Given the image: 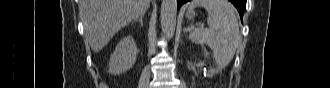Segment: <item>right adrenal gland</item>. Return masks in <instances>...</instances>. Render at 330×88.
I'll use <instances>...</instances> for the list:
<instances>
[{
  "label": "right adrenal gland",
  "mask_w": 330,
  "mask_h": 88,
  "mask_svg": "<svg viewBox=\"0 0 330 88\" xmlns=\"http://www.w3.org/2000/svg\"><path fill=\"white\" fill-rule=\"evenodd\" d=\"M139 21L141 25L143 26V16H140L139 18L135 19L134 22Z\"/></svg>",
  "instance_id": "obj_1"
}]
</instances>
